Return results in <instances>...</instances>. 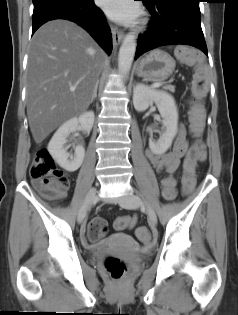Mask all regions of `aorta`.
Wrapping results in <instances>:
<instances>
[{"label":"aorta","mask_w":238,"mask_h":315,"mask_svg":"<svg viewBox=\"0 0 238 315\" xmlns=\"http://www.w3.org/2000/svg\"><path fill=\"white\" fill-rule=\"evenodd\" d=\"M136 51V39L132 34L126 35L124 38L118 55V68L122 75H128Z\"/></svg>","instance_id":"1"}]
</instances>
